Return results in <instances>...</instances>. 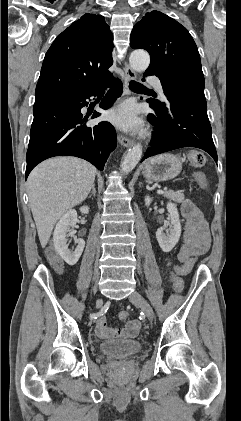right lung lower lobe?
<instances>
[{
  "instance_id": "obj_1",
  "label": "right lung lower lobe",
  "mask_w": 241,
  "mask_h": 421,
  "mask_svg": "<svg viewBox=\"0 0 241 421\" xmlns=\"http://www.w3.org/2000/svg\"><path fill=\"white\" fill-rule=\"evenodd\" d=\"M106 87L110 90L100 107L108 109L122 93L121 81L112 75L91 88L62 92L35 101L25 179L43 160L62 155L83 158L103 170L109 153L116 147L115 129L109 122L87 127L88 116L83 117L81 108L88 105L86 99ZM99 115L95 112L92 118Z\"/></svg>"
}]
</instances>
